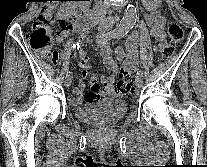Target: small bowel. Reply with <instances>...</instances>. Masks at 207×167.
<instances>
[{
	"label": "small bowel",
	"mask_w": 207,
	"mask_h": 167,
	"mask_svg": "<svg viewBox=\"0 0 207 167\" xmlns=\"http://www.w3.org/2000/svg\"><path fill=\"white\" fill-rule=\"evenodd\" d=\"M156 0H153L154 3ZM150 13L148 16L150 35L154 40L160 42L165 37L164 27L165 19L164 17L152 7H149ZM70 30H63L57 37V42L62 43L64 38L67 37ZM145 37V34H140L134 31L126 41L127 54L123 52L121 48H117L116 56L119 60L123 62L122 70L126 74L134 72L138 68V45ZM100 55L102 57L103 63L110 73L108 77H101L100 82L102 87L98 82L97 77L94 74H90L91 67L89 65V58L85 55H81L79 58V65L82 68L83 77H90V85L88 92L84 95V83L80 81L73 89V97L70 98V104L73 106L79 105L88 101H96L98 99L110 96H116L117 90L115 88L114 74L117 72V64L111 54L110 46L108 43L99 44ZM156 50V47H154Z\"/></svg>",
	"instance_id": "1"
}]
</instances>
